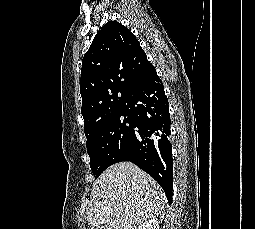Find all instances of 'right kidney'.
<instances>
[{"mask_svg": "<svg viewBox=\"0 0 255 229\" xmlns=\"http://www.w3.org/2000/svg\"><path fill=\"white\" fill-rule=\"evenodd\" d=\"M138 229H160L158 218H150L143 222Z\"/></svg>", "mask_w": 255, "mask_h": 229, "instance_id": "ca27d5eb", "label": "right kidney"}]
</instances>
